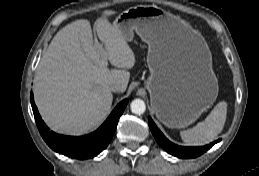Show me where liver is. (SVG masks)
I'll use <instances>...</instances> for the list:
<instances>
[{
  "label": "liver",
  "mask_w": 259,
  "mask_h": 176,
  "mask_svg": "<svg viewBox=\"0 0 259 176\" xmlns=\"http://www.w3.org/2000/svg\"><path fill=\"white\" fill-rule=\"evenodd\" d=\"M106 10L95 22L101 41L95 44L90 22L74 21L59 30L43 53L34 79V98L45 123L54 131L81 135L109 114L110 84L127 88L135 55ZM108 61L115 67L109 69Z\"/></svg>",
  "instance_id": "liver-1"
}]
</instances>
